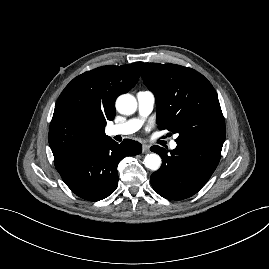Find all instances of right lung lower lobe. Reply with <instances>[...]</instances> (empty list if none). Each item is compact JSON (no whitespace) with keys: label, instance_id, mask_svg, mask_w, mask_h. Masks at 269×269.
Returning a JSON list of instances; mask_svg holds the SVG:
<instances>
[{"label":"right lung lower lobe","instance_id":"right-lung-lower-lobe-1","mask_svg":"<svg viewBox=\"0 0 269 269\" xmlns=\"http://www.w3.org/2000/svg\"><path fill=\"white\" fill-rule=\"evenodd\" d=\"M141 151L139 142L125 139L118 144L109 137L54 159V162L73 193L88 201H99L117 188V165L120 160L126 155L140 154Z\"/></svg>","mask_w":269,"mask_h":269}]
</instances>
